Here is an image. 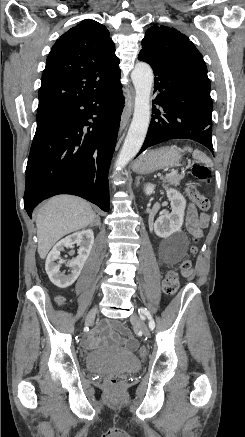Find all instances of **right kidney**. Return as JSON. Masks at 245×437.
I'll return each instance as SVG.
<instances>
[{"mask_svg": "<svg viewBox=\"0 0 245 437\" xmlns=\"http://www.w3.org/2000/svg\"><path fill=\"white\" fill-rule=\"evenodd\" d=\"M76 243L81 245L78 250V256L75 259L67 262V266L70 268V274L65 275L64 273L60 272L61 264L65 263V260L61 259L60 257V252L64 249V247H72ZM93 244L94 233L91 229L73 233L60 240L48 254L45 263V270L50 281L59 288H66L72 285L79 277L81 270L83 269V266L92 250ZM55 261H57V263Z\"/></svg>", "mask_w": 245, "mask_h": 437, "instance_id": "right-kidney-1", "label": "right kidney"}]
</instances>
